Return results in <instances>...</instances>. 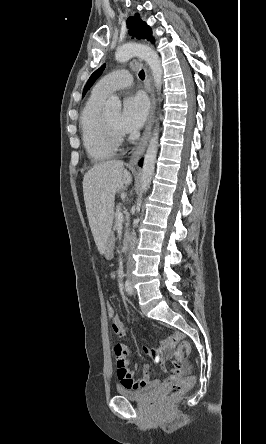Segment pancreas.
Returning <instances> with one entry per match:
<instances>
[{
  "instance_id": "obj_1",
  "label": "pancreas",
  "mask_w": 266,
  "mask_h": 444,
  "mask_svg": "<svg viewBox=\"0 0 266 444\" xmlns=\"http://www.w3.org/2000/svg\"><path fill=\"white\" fill-rule=\"evenodd\" d=\"M119 211H121V205H120V204H117V205H116V212H115V214H114V217H115V228L118 227V218H117V214H118ZM127 226H128V223H126V227H127Z\"/></svg>"
}]
</instances>
